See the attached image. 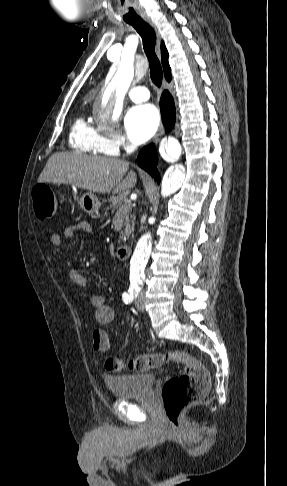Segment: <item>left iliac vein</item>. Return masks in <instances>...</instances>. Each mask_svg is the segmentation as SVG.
<instances>
[{
    "label": "left iliac vein",
    "mask_w": 287,
    "mask_h": 486,
    "mask_svg": "<svg viewBox=\"0 0 287 486\" xmlns=\"http://www.w3.org/2000/svg\"><path fill=\"white\" fill-rule=\"evenodd\" d=\"M144 301H145V296L144 292H140L138 296L135 298V306L139 311L144 310Z\"/></svg>",
    "instance_id": "4c4485c4"
}]
</instances>
